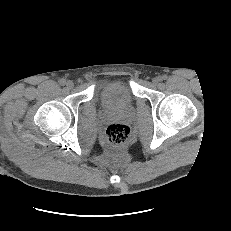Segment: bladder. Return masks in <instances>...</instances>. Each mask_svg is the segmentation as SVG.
Segmentation results:
<instances>
[{"instance_id": "31cf9c89", "label": "bladder", "mask_w": 231, "mask_h": 231, "mask_svg": "<svg viewBox=\"0 0 231 231\" xmlns=\"http://www.w3.org/2000/svg\"><path fill=\"white\" fill-rule=\"evenodd\" d=\"M99 98L105 107L118 108L131 104L134 96L130 85L126 81L115 79L100 85Z\"/></svg>"}]
</instances>
